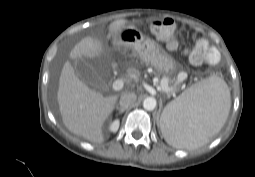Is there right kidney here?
<instances>
[{
    "mask_svg": "<svg viewBox=\"0 0 255 177\" xmlns=\"http://www.w3.org/2000/svg\"><path fill=\"white\" fill-rule=\"evenodd\" d=\"M119 125H120L119 120L113 121L109 126V131L113 133L117 132Z\"/></svg>",
    "mask_w": 255,
    "mask_h": 177,
    "instance_id": "ca27d5eb",
    "label": "right kidney"
}]
</instances>
